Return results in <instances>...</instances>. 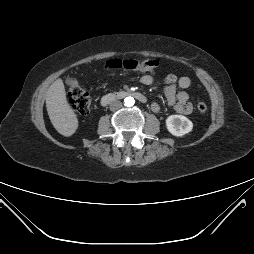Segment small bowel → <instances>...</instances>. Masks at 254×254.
Wrapping results in <instances>:
<instances>
[{
    "instance_id": "c3829d8e",
    "label": "small bowel",
    "mask_w": 254,
    "mask_h": 254,
    "mask_svg": "<svg viewBox=\"0 0 254 254\" xmlns=\"http://www.w3.org/2000/svg\"><path fill=\"white\" fill-rule=\"evenodd\" d=\"M140 81L146 86L154 84V78L149 74L142 75ZM163 83L167 105L179 114H190L193 110V106L189 102L187 90L191 85V80L188 77H177L174 74H168L165 76ZM151 109L154 112H159V103L152 102Z\"/></svg>"
}]
</instances>
